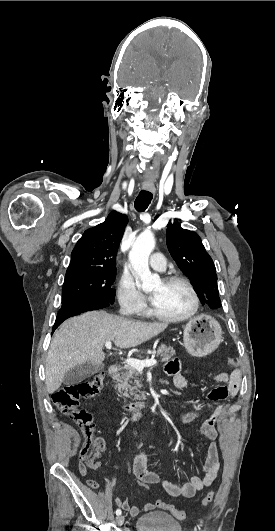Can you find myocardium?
I'll return each instance as SVG.
<instances>
[{
    "mask_svg": "<svg viewBox=\"0 0 275 531\" xmlns=\"http://www.w3.org/2000/svg\"><path fill=\"white\" fill-rule=\"evenodd\" d=\"M162 282H164V283L176 282V283L183 284L188 289V291L190 292V295H191V298H192V307L187 313H185L184 315H181V316H164V315L160 314L157 311V309L155 308L154 302L152 301L153 314L159 320L167 322V323H179V322L187 321L190 318H192L197 313V311L199 309L200 300H199L198 293H197L194 285L191 283V281L189 279H187L186 277H184V276L171 275V276L165 277L162 280Z\"/></svg>",
    "mask_w": 275,
    "mask_h": 531,
    "instance_id": "1",
    "label": "myocardium"
}]
</instances>
